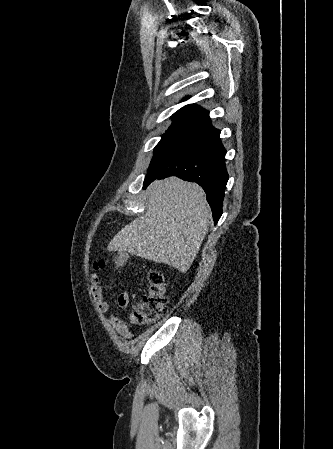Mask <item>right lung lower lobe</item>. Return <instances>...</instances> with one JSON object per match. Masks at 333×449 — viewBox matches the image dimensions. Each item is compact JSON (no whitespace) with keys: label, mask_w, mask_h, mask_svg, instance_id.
<instances>
[{"label":"right lung lower lobe","mask_w":333,"mask_h":449,"mask_svg":"<svg viewBox=\"0 0 333 449\" xmlns=\"http://www.w3.org/2000/svg\"><path fill=\"white\" fill-rule=\"evenodd\" d=\"M225 154L220 130L211 126L174 150L148 172L144 188L155 179L169 176L196 182L207 194L216 224L222 215V201L228 181Z\"/></svg>","instance_id":"1"}]
</instances>
